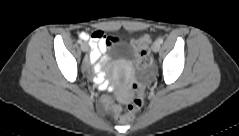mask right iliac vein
Instances as JSON below:
<instances>
[{"mask_svg": "<svg viewBox=\"0 0 239 136\" xmlns=\"http://www.w3.org/2000/svg\"><path fill=\"white\" fill-rule=\"evenodd\" d=\"M81 49L83 52H87L89 50V45L86 42H84L81 44Z\"/></svg>", "mask_w": 239, "mask_h": 136, "instance_id": "obj_1", "label": "right iliac vein"}]
</instances>
